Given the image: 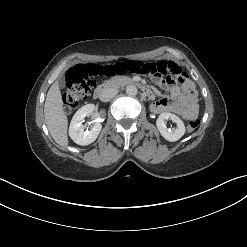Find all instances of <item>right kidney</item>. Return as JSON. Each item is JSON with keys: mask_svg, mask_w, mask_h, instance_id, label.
I'll list each match as a JSON object with an SVG mask.
<instances>
[{"mask_svg": "<svg viewBox=\"0 0 247 247\" xmlns=\"http://www.w3.org/2000/svg\"><path fill=\"white\" fill-rule=\"evenodd\" d=\"M94 110L95 106L93 104L84 105L74 114L71 120L69 136L78 145L85 146L93 143L102 129L100 122H95L90 130H85L84 125H82L84 118L92 115Z\"/></svg>", "mask_w": 247, "mask_h": 247, "instance_id": "ca27d5eb", "label": "right kidney"}]
</instances>
